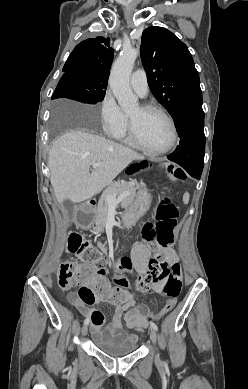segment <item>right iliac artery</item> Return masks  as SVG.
Instances as JSON below:
<instances>
[{"label": "right iliac artery", "mask_w": 248, "mask_h": 389, "mask_svg": "<svg viewBox=\"0 0 248 389\" xmlns=\"http://www.w3.org/2000/svg\"><path fill=\"white\" fill-rule=\"evenodd\" d=\"M84 324H89V319H85Z\"/></svg>", "instance_id": "82829eb1"}]
</instances>
